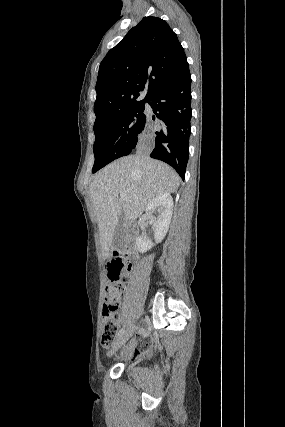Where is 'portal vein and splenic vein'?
<instances>
[{
  "mask_svg": "<svg viewBox=\"0 0 285 427\" xmlns=\"http://www.w3.org/2000/svg\"><path fill=\"white\" fill-rule=\"evenodd\" d=\"M120 198L123 201H127V197L124 194H120Z\"/></svg>",
  "mask_w": 285,
  "mask_h": 427,
  "instance_id": "obj_1",
  "label": "portal vein and splenic vein"
}]
</instances>
